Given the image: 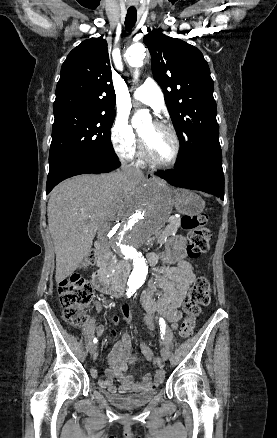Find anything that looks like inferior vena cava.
<instances>
[{"instance_id":"obj_1","label":"inferior vena cava","mask_w":277,"mask_h":438,"mask_svg":"<svg viewBox=\"0 0 277 438\" xmlns=\"http://www.w3.org/2000/svg\"><path fill=\"white\" fill-rule=\"evenodd\" d=\"M120 162L121 170L123 174H126L127 178H129V176H133V174H136V176H140L141 170H139V168H135V166H128L126 160H123V158H121Z\"/></svg>"}]
</instances>
